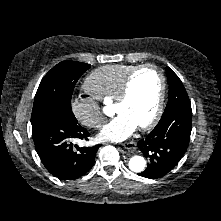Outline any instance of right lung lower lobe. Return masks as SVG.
<instances>
[{
	"label": "right lung lower lobe",
	"mask_w": 221,
	"mask_h": 221,
	"mask_svg": "<svg viewBox=\"0 0 221 221\" xmlns=\"http://www.w3.org/2000/svg\"><path fill=\"white\" fill-rule=\"evenodd\" d=\"M35 149L45 168L55 177L73 180L93 166L100 145L73 147L72 139L88 140L90 133L77 120L50 116L32 125Z\"/></svg>",
	"instance_id": "98d812e1"
}]
</instances>
